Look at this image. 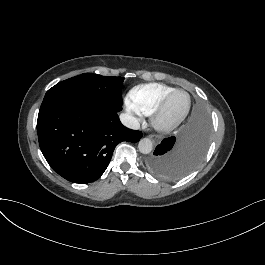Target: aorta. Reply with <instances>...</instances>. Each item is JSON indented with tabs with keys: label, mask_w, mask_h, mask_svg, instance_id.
<instances>
[{
	"label": "aorta",
	"mask_w": 265,
	"mask_h": 265,
	"mask_svg": "<svg viewBox=\"0 0 265 265\" xmlns=\"http://www.w3.org/2000/svg\"><path fill=\"white\" fill-rule=\"evenodd\" d=\"M138 148L141 153L149 154L153 149L152 141L148 138H143L139 141Z\"/></svg>",
	"instance_id": "762f6f07"
}]
</instances>
